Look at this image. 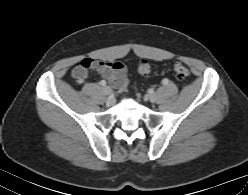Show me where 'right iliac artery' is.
I'll return each mask as SVG.
<instances>
[{
	"label": "right iliac artery",
	"mask_w": 248,
	"mask_h": 195,
	"mask_svg": "<svg viewBox=\"0 0 248 195\" xmlns=\"http://www.w3.org/2000/svg\"><path fill=\"white\" fill-rule=\"evenodd\" d=\"M100 85L101 86H105L106 85V81H104V80L100 81Z\"/></svg>",
	"instance_id": "1"
}]
</instances>
